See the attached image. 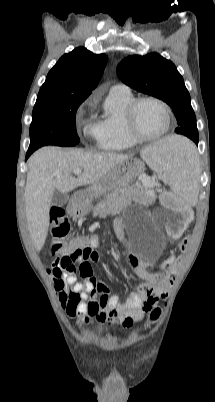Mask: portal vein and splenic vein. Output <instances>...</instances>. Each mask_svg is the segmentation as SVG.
Masks as SVG:
<instances>
[{"instance_id": "obj_1", "label": "portal vein and splenic vein", "mask_w": 215, "mask_h": 402, "mask_svg": "<svg viewBox=\"0 0 215 402\" xmlns=\"http://www.w3.org/2000/svg\"><path fill=\"white\" fill-rule=\"evenodd\" d=\"M73 173H74L75 175L79 176V175L82 173V170H81V169H75V170L73 171Z\"/></svg>"}]
</instances>
